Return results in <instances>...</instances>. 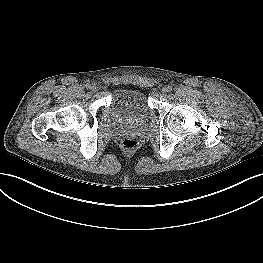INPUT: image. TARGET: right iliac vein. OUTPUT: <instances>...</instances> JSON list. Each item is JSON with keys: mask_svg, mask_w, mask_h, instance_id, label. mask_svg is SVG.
Masks as SVG:
<instances>
[{"mask_svg": "<svg viewBox=\"0 0 263 263\" xmlns=\"http://www.w3.org/2000/svg\"><path fill=\"white\" fill-rule=\"evenodd\" d=\"M91 90H92L93 92H97V91H98V88H97L95 85H93V86H91Z\"/></svg>", "mask_w": 263, "mask_h": 263, "instance_id": "right-iliac-vein-1", "label": "right iliac vein"}]
</instances>
